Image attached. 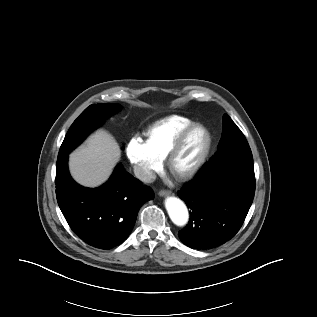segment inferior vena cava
<instances>
[{
    "mask_svg": "<svg viewBox=\"0 0 317 317\" xmlns=\"http://www.w3.org/2000/svg\"><path fill=\"white\" fill-rule=\"evenodd\" d=\"M134 174L136 178L145 183H151L156 179L154 171L140 165L134 166Z\"/></svg>",
    "mask_w": 317,
    "mask_h": 317,
    "instance_id": "602c4592",
    "label": "inferior vena cava"
}]
</instances>
